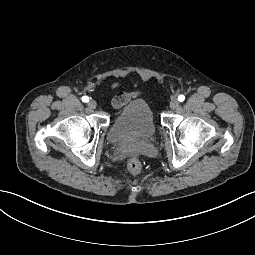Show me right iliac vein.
I'll use <instances>...</instances> for the list:
<instances>
[{"label": "right iliac vein", "instance_id": "1", "mask_svg": "<svg viewBox=\"0 0 255 255\" xmlns=\"http://www.w3.org/2000/svg\"><path fill=\"white\" fill-rule=\"evenodd\" d=\"M88 106H89V108H91V109H95V108L97 107V103H96L95 100H90V101L88 102Z\"/></svg>", "mask_w": 255, "mask_h": 255}]
</instances>
